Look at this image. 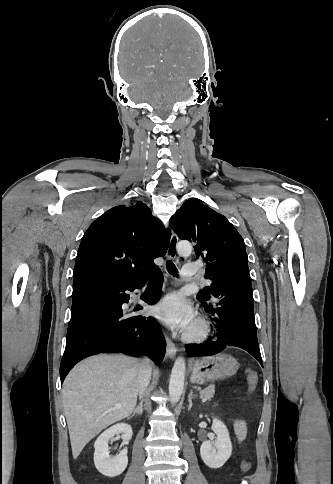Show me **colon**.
<instances>
[{
	"mask_svg": "<svg viewBox=\"0 0 333 484\" xmlns=\"http://www.w3.org/2000/svg\"><path fill=\"white\" fill-rule=\"evenodd\" d=\"M246 378L248 383V393H252L258 384V374L252 369H248L246 371ZM250 462L249 460L245 459L241 464L242 472H247L250 469Z\"/></svg>",
	"mask_w": 333,
	"mask_h": 484,
	"instance_id": "obj_1",
	"label": "colon"
}]
</instances>
